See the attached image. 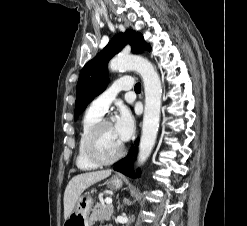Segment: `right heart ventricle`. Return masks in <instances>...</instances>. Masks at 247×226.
<instances>
[{"mask_svg":"<svg viewBox=\"0 0 247 226\" xmlns=\"http://www.w3.org/2000/svg\"><path fill=\"white\" fill-rule=\"evenodd\" d=\"M102 116L88 109L83 117L76 150V165L81 170H92L97 165L90 162L84 153V139L88 131L101 120Z\"/></svg>","mask_w":247,"mask_h":226,"instance_id":"obj_1","label":"right heart ventricle"}]
</instances>
